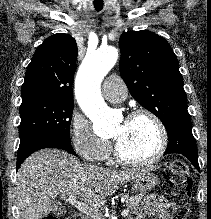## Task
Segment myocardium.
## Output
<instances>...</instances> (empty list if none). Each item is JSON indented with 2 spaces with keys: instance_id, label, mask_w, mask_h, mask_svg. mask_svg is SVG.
I'll use <instances>...</instances> for the list:
<instances>
[{
  "instance_id": "obj_1",
  "label": "myocardium",
  "mask_w": 211,
  "mask_h": 219,
  "mask_svg": "<svg viewBox=\"0 0 211 219\" xmlns=\"http://www.w3.org/2000/svg\"><path fill=\"white\" fill-rule=\"evenodd\" d=\"M139 117H147L150 120L153 121V123L156 125L158 132H159V145L156 150V152L149 158L143 159V160H135L130 159L124 156L121 151L119 150L117 144L113 143V153L115 159L123 165L126 166H132V167H142V166H148L152 165L156 162H158L164 153L166 152L167 146H168V133L167 129L163 123V121L160 119L159 116H157L154 112L147 110V109H137L131 112L127 118L126 121L135 120Z\"/></svg>"
}]
</instances>
